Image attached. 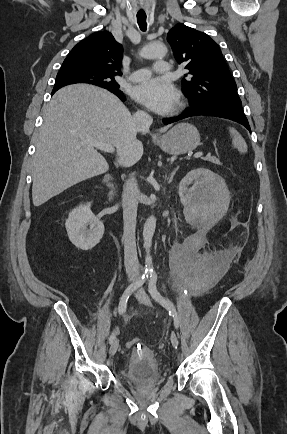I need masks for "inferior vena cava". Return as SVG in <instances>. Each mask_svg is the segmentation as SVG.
<instances>
[{"mask_svg":"<svg viewBox=\"0 0 287 434\" xmlns=\"http://www.w3.org/2000/svg\"><path fill=\"white\" fill-rule=\"evenodd\" d=\"M134 117L137 125L143 130L149 129L153 121L152 117L144 111H137ZM138 197L139 188L137 180L132 176L126 181L122 195L124 265L130 281H135L139 278V263L135 238Z\"/></svg>","mask_w":287,"mask_h":434,"instance_id":"inferior-vena-cava-1","label":"inferior vena cava"}]
</instances>
